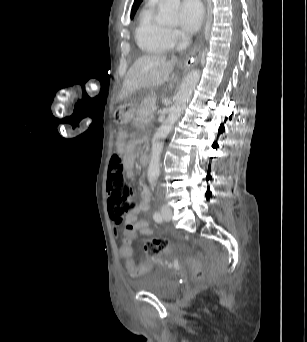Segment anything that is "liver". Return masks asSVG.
<instances>
[{
    "label": "liver",
    "mask_w": 307,
    "mask_h": 342,
    "mask_svg": "<svg viewBox=\"0 0 307 342\" xmlns=\"http://www.w3.org/2000/svg\"><path fill=\"white\" fill-rule=\"evenodd\" d=\"M176 62V58L167 60V56L163 54H149L138 58L125 76L119 94L120 100H125L127 96L141 88H153L165 84Z\"/></svg>",
    "instance_id": "liver-1"
}]
</instances>
